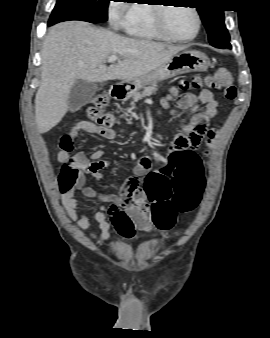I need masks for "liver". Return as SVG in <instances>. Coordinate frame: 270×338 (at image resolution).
Here are the masks:
<instances>
[{
	"instance_id": "1",
	"label": "liver",
	"mask_w": 270,
	"mask_h": 338,
	"mask_svg": "<svg viewBox=\"0 0 270 338\" xmlns=\"http://www.w3.org/2000/svg\"><path fill=\"white\" fill-rule=\"evenodd\" d=\"M186 46L131 39L86 22L69 21L49 29L42 48L41 83L35 97L39 133L55 127L68 111V96L77 80L130 81L156 69ZM120 56L115 64L104 63Z\"/></svg>"
}]
</instances>
